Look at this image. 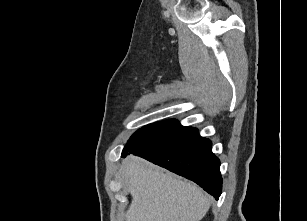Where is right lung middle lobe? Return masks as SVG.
Instances as JSON below:
<instances>
[{"mask_svg": "<svg viewBox=\"0 0 307 221\" xmlns=\"http://www.w3.org/2000/svg\"><path fill=\"white\" fill-rule=\"evenodd\" d=\"M191 129V127L182 126L175 120H165L147 125L132 135L122 154L167 142Z\"/></svg>", "mask_w": 307, "mask_h": 221, "instance_id": "1", "label": "right lung middle lobe"}]
</instances>
